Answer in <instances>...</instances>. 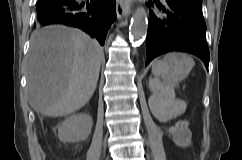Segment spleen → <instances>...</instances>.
Instances as JSON below:
<instances>
[{
    "label": "spleen",
    "instance_id": "spleen-1",
    "mask_svg": "<svg viewBox=\"0 0 242 160\" xmlns=\"http://www.w3.org/2000/svg\"><path fill=\"white\" fill-rule=\"evenodd\" d=\"M180 69L181 64L176 53L168 54L163 60L156 61L152 65L154 79L150 80L149 86L157 93V100L172 114L176 113L174 86L179 81L176 72ZM160 77L164 79L163 82L160 81Z\"/></svg>",
    "mask_w": 242,
    "mask_h": 160
}]
</instances>
